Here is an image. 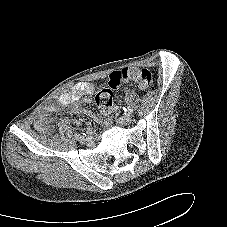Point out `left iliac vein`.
Masks as SVG:
<instances>
[{
	"instance_id": "4c4485c4",
	"label": "left iliac vein",
	"mask_w": 227,
	"mask_h": 227,
	"mask_svg": "<svg viewBox=\"0 0 227 227\" xmlns=\"http://www.w3.org/2000/svg\"><path fill=\"white\" fill-rule=\"evenodd\" d=\"M117 121L120 125H127L131 123L132 116L130 114H127L125 116L119 117Z\"/></svg>"
}]
</instances>
